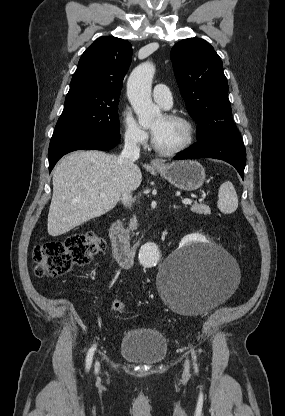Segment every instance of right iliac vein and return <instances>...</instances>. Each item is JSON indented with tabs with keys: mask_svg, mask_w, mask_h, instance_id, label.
<instances>
[{
	"mask_svg": "<svg viewBox=\"0 0 285 416\" xmlns=\"http://www.w3.org/2000/svg\"><path fill=\"white\" fill-rule=\"evenodd\" d=\"M95 368H96V370H98V369L100 368V364H99V362H96V363H95Z\"/></svg>",
	"mask_w": 285,
	"mask_h": 416,
	"instance_id": "obj_1",
	"label": "right iliac vein"
}]
</instances>
